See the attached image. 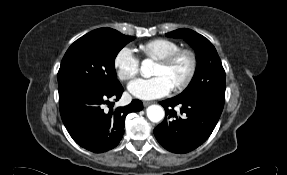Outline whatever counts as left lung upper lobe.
I'll use <instances>...</instances> for the list:
<instances>
[{
    "label": "left lung upper lobe",
    "instance_id": "obj_1",
    "mask_svg": "<svg viewBox=\"0 0 287 175\" xmlns=\"http://www.w3.org/2000/svg\"><path fill=\"white\" fill-rule=\"evenodd\" d=\"M166 36L182 38L195 49L197 67L194 77L180 96H204L225 102V71L212 43L204 36L190 30L178 29Z\"/></svg>",
    "mask_w": 287,
    "mask_h": 175
}]
</instances>
